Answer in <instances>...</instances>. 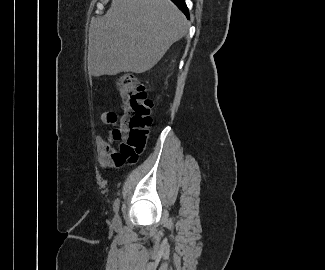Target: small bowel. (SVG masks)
<instances>
[{"label":"small bowel","mask_w":325,"mask_h":270,"mask_svg":"<svg viewBox=\"0 0 325 270\" xmlns=\"http://www.w3.org/2000/svg\"><path fill=\"white\" fill-rule=\"evenodd\" d=\"M101 120L106 125L114 126L117 120V115L114 112H106L102 114ZM111 132L108 139H104L100 134H96L95 136V142L99 154V163L104 168L121 167L127 162L125 157L121 156L114 150L112 146L113 139Z\"/></svg>","instance_id":"1"}]
</instances>
